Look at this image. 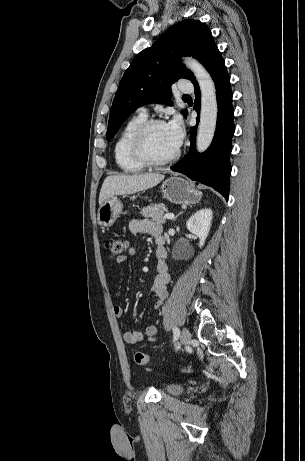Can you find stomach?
<instances>
[{"mask_svg":"<svg viewBox=\"0 0 305 461\" xmlns=\"http://www.w3.org/2000/svg\"><path fill=\"white\" fill-rule=\"evenodd\" d=\"M163 197L174 204H195L201 199L202 193L194 185L177 176L166 179L161 186ZM123 204L113 196L100 205L97 214L98 224L104 228L111 227L122 214Z\"/></svg>","mask_w":305,"mask_h":461,"instance_id":"obj_1","label":"stomach"}]
</instances>
